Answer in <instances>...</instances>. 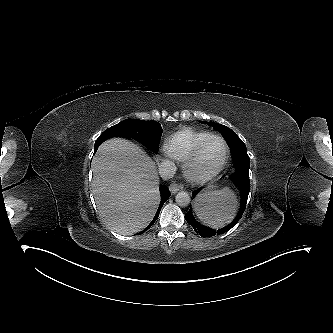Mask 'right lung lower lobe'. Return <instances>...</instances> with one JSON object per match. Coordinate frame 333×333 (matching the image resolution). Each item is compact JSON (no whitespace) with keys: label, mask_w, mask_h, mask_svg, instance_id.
Here are the masks:
<instances>
[{"label":"right lung lower lobe","mask_w":333,"mask_h":333,"mask_svg":"<svg viewBox=\"0 0 333 333\" xmlns=\"http://www.w3.org/2000/svg\"><path fill=\"white\" fill-rule=\"evenodd\" d=\"M112 137H120V136H117L116 134L114 133H109V132H106L104 131L100 136L99 138L96 140L95 142V152L97 151L98 147L100 146L101 143H103L105 140L109 139V138H112ZM94 152V153H95ZM160 193H161V202H160V205H159V208L157 210V213L154 217V219L152 220V222L144 229V231L140 232L139 234H142L144 233L148 228H150L154 223L155 221L157 220L158 216H159V213H160V210L163 206V204L167 201V199L170 197V191L167 187L165 186H161L160 187Z\"/></svg>","instance_id":"obj_1"}]
</instances>
